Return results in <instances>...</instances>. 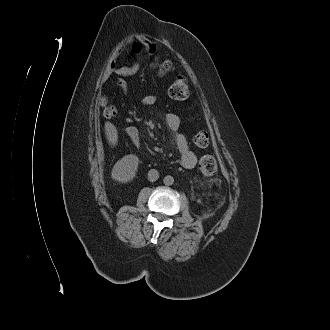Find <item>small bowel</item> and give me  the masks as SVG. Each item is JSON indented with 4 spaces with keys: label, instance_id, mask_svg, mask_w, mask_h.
Masks as SVG:
<instances>
[{
    "label": "small bowel",
    "instance_id": "small-bowel-1",
    "mask_svg": "<svg viewBox=\"0 0 330 330\" xmlns=\"http://www.w3.org/2000/svg\"><path fill=\"white\" fill-rule=\"evenodd\" d=\"M127 46L134 52V53H139L140 52V47L137 42L134 40L130 39L127 41ZM120 55V51L116 50L108 64L107 71L109 74H117L119 76H129L133 75L137 72L138 70V64L134 63L131 66H117V58ZM118 85L122 88L127 87V83L125 80L120 79L118 81ZM143 103L146 105H152L154 103V98L152 96H147L143 99ZM166 125L167 127L174 133L175 135V143L177 146V149L180 153V162L184 168L191 169L195 166L197 162V157L196 155L189 149V145L187 142L186 137L179 132L180 128V119L177 115L175 114H167L166 116Z\"/></svg>",
    "mask_w": 330,
    "mask_h": 330
}]
</instances>
